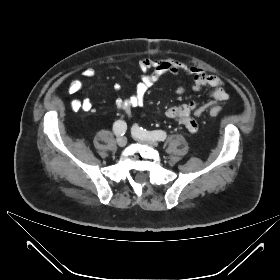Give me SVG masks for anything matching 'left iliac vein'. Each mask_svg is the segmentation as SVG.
I'll use <instances>...</instances> for the list:
<instances>
[{"label": "left iliac vein", "mask_w": 280, "mask_h": 280, "mask_svg": "<svg viewBox=\"0 0 280 280\" xmlns=\"http://www.w3.org/2000/svg\"><path fill=\"white\" fill-rule=\"evenodd\" d=\"M132 135H133L134 139L139 141V142H143V143H146V144H148L150 146H154V147L158 146V142L156 140H153V139H143V138L139 137L134 132H132Z\"/></svg>", "instance_id": "left-iliac-vein-1"}]
</instances>
